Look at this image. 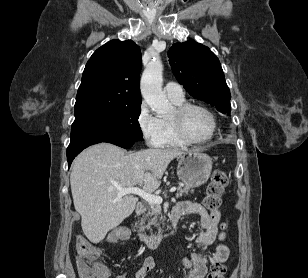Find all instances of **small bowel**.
<instances>
[{
	"instance_id": "obj_1",
	"label": "small bowel",
	"mask_w": 308,
	"mask_h": 278,
	"mask_svg": "<svg viewBox=\"0 0 308 278\" xmlns=\"http://www.w3.org/2000/svg\"><path fill=\"white\" fill-rule=\"evenodd\" d=\"M173 211L178 218L192 214L200 217V231L196 237V242L200 244V249L193 252L189 257L183 254L182 264L189 270V278H205L209 266L216 262L223 263L228 258L229 249L224 244L226 224L221 222V214L218 210L208 212L203 205L197 202H180L174 207ZM215 242H218L216 250L212 256L208 257L205 250ZM154 265L153 258H146L136 272L135 278H145ZM110 276V270L105 265L100 264L97 278H110ZM116 278H126V274L123 272Z\"/></svg>"
}]
</instances>
